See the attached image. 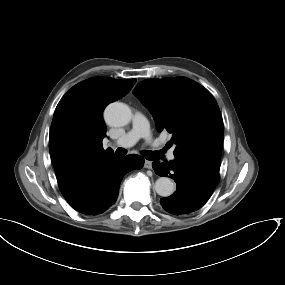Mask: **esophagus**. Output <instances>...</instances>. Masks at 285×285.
<instances>
[{
  "label": "esophagus",
  "mask_w": 285,
  "mask_h": 285,
  "mask_svg": "<svg viewBox=\"0 0 285 285\" xmlns=\"http://www.w3.org/2000/svg\"><path fill=\"white\" fill-rule=\"evenodd\" d=\"M144 167H145L146 169H151V168H152V162L149 161V160H145V162H144Z\"/></svg>",
  "instance_id": "esophagus-1"
}]
</instances>
